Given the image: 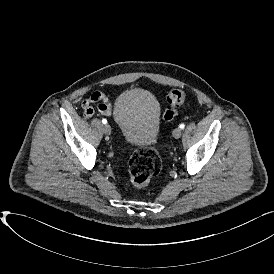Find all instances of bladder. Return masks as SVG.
Returning a JSON list of instances; mask_svg holds the SVG:
<instances>
[{
  "mask_svg": "<svg viewBox=\"0 0 274 274\" xmlns=\"http://www.w3.org/2000/svg\"><path fill=\"white\" fill-rule=\"evenodd\" d=\"M113 118L131 145L149 146L160 131V108L154 95L142 88L122 92L113 107Z\"/></svg>",
  "mask_w": 274,
  "mask_h": 274,
  "instance_id": "bladder-1",
  "label": "bladder"
}]
</instances>
